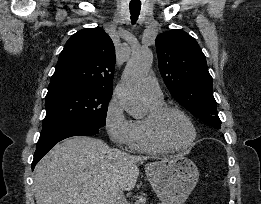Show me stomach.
Segmentation results:
<instances>
[{"instance_id":"1","label":"stomach","mask_w":261,"mask_h":204,"mask_svg":"<svg viewBox=\"0 0 261 204\" xmlns=\"http://www.w3.org/2000/svg\"><path fill=\"white\" fill-rule=\"evenodd\" d=\"M145 171L162 204H183L199 179L197 166L183 155L149 163Z\"/></svg>"}]
</instances>
